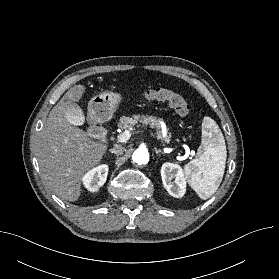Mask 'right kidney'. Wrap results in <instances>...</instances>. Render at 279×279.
<instances>
[{"label":"right kidney","instance_id":"1","mask_svg":"<svg viewBox=\"0 0 279 279\" xmlns=\"http://www.w3.org/2000/svg\"><path fill=\"white\" fill-rule=\"evenodd\" d=\"M108 170V165L102 164L85 173L82 178L85 188L90 192H97L106 182Z\"/></svg>","mask_w":279,"mask_h":279}]
</instances>
